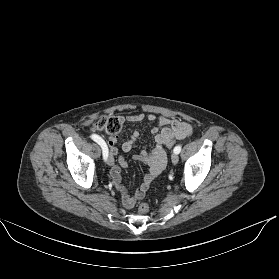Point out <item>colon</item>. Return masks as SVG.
<instances>
[{
	"label": "colon",
	"mask_w": 279,
	"mask_h": 279,
	"mask_svg": "<svg viewBox=\"0 0 279 279\" xmlns=\"http://www.w3.org/2000/svg\"><path fill=\"white\" fill-rule=\"evenodd\" d=\"M94 129L100 132L106 133L108 136H117L121 130V122L117 117H107L99 119L95 125ZM177 142V139L170 138L166 146L168 148H172ZM149 210V206L146 203H142L139 206V212L142 214L147 213Z\"/></svg>",
	"instance_id": "1"
}]
</instances>
